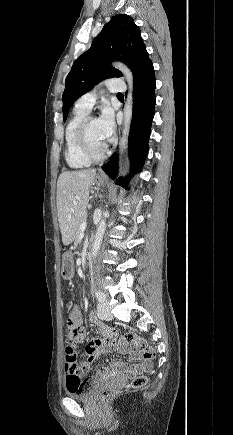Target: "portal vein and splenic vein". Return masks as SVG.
<instances>
[{
    "instance_id": "portal-vein-and-splenic-vein-1",
    "label": "portal vein and splenic vein",
    "mask_w": 233,
    "mask_h": 435,
    "mask_svg": "<svg viewBox=\"0 0 233 435\" xmlns=\"http://www.w3.org/2000/svg\"><path fill=\"white\" fill-rule=\"evenodd\" d=\"M86 225H87L86 222H82V223L80 224L79 230H80V234H81V235L84 233V231H85V229H86Z\"/></svg>"
}]
</instances>
